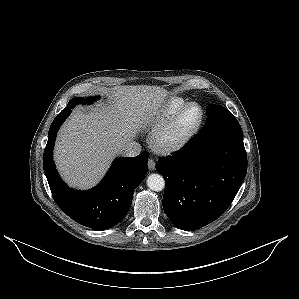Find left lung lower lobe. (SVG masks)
<instances>
[{"mask_svg": "<svg viewBox=\"0 0 299 299\" xmlns=\"http://www.w3.org/2000/svg\"><path fill=\"white\" fill-rule=\"evenodd\" d=\"M165 178L163 208L180 229L197 230L221 216L247 172L243 132L232 113L222 116L186 146L158 160Z\"/></svg>", "mask_w": 299, "mask_h": 299, "instance_id": "obj_1", "label": "left lung lower lobe"}]
</instances>
